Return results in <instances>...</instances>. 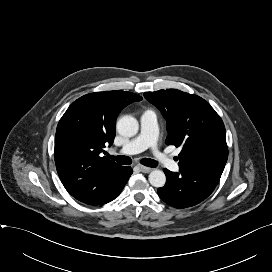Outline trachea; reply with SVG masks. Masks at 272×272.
<instances>
[{
    "label": "trachea",
    "mask_w": 272,
    "mask_h": 272,
    "mask_svg": "<svg viewBox=\"0 0 272 272\" xmlns=\"http://www.w3.org/2000/svg\"><path fill=\"white\" fill-rule=\"evenodd\" d=\"M110 159L115 160L117 163L122 164V165H130L132 163V159L128 156H109ZM141 164L147 166V167H156L158 165V163L153 160V159H149V158H143L141 161Z\"/></svg>",
    "instance_id": "3493384b"
}]
</instances>
